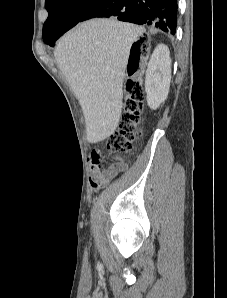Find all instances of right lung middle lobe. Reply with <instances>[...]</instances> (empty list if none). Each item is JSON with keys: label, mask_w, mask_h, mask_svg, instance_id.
I'll list each match as a JSON object with an SVG mask.
<instances>
[{"label": "right lung middle lobe", "mask_w": 227, "mask_h": 298, "mask_svg": "<svg viewBox=\"0 0 227 298\" xmlns=\"http://www.w3.org/2000/svg\"><path fill=\"white\" fill-rule=\"evenodd\" d=\"M100 0H46L48 18L43 26V39L46 43L53 32L67 31L89 12Z\"/></svg>", "instance_id": "dd1d6c3e"}]
</instances>
